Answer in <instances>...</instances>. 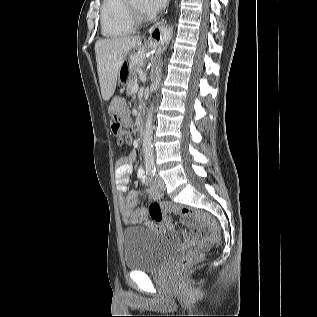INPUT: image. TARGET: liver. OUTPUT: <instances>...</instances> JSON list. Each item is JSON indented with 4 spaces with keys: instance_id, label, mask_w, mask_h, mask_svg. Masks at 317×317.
Wrapping results in <instances>:
<instances>
[{
    "instance_id": "liver-1",
    "label": "liver",
    "mask_w": 317,
    "mask_h": 317,
    "mask_svg": "<svg viewBox=\"0 0 317 317\" xmlns=\"http://www.w3.org/2000/svg\"><path fill=\"white\" fill-rule=\"evenodd\" d=\"M141 43L142 39L139 36L99 39L95 43L97 72L103 100L108 101L113 96L118 74L127 54L141 46ZM138 62H142V57Z\"/></svg>"
}]
</instances>
